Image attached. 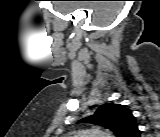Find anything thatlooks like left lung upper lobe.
Returning a JSON list of instances; mask_svg holds the SVG:
<instances>
[{
	"label": "left lung upper lobe",
	"mask_w": 160,
	"mask_h": 137,
	"mask_svg": "<svg viewBox=\"0 0 160 137\" xmlns=\"http://www.w3.org/2000/svg\"><path fill=\"white\" fill-rule=\"evenodd\" d=\"M79 122L106 127L112 130L117 137H129L137 128V123L131 110L123 105L113 103L100 106L93 115Z\"/></svg>",
	"instance_id": "obj_1"
}]
</instances>
